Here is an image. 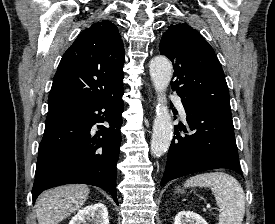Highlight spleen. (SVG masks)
Here are the masks:
<instances>
[{
  "mask_svg": "<svg viewBox=\"0 0 275 224\" xmlns=\"http://www.w3.org/2000/svg\"><path fill=\"white\" fill-rule=\"evenodd\" d=\"M185 187H209L221 209L218 224H242L245 214V194L240 183L223 172H210L190 177Z\"/></svg>",
  "mask_w": 275,
  "mask_h": 224,
  "instance_id": "1",
  "label": "spleen"
}]
</instances>
